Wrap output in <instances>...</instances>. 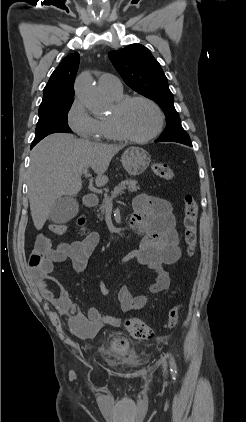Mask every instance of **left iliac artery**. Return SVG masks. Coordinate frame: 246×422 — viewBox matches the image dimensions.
I'll list each match as a JSON object with an SVG mask.
<instances>
[{"label":"left iliac artery","mask_w":246,"mask_h":422,"mask_svg":"<svg viewBox=\"0 0 246 422\" xmlns=\"http://www.w3.org/2000/svg\"><path fill=\"white\" fill-rule=\"evenodd\" d=\"M170 368H171V372L173 374V377L175 379V376L177 374V367H176L175 360L172 356L170 357Z\"/></svg>","instance_id":"left-iliac-artery-1"}]
</instances>
